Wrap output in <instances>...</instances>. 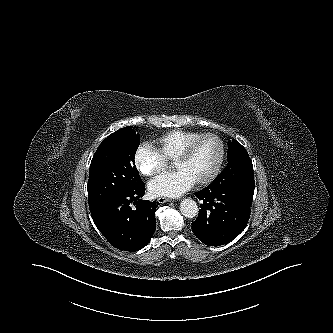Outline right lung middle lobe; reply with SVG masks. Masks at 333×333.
I'll return each instance as SVG.
<instances>
[{"mask_svg": "<svg viewBox=\"0 0 333 333\" xmlns=\"http://www.w3.org/2000/svg\"><path fill=\"white\" fill-rule=\"evenodd\" d=\"M140 135L132 127L110 134L96 150L89 169L88 201L98 202L142 184L135 166Z\"/></svg>", "mask_w": 333, "mask_h": 333, "instance_id": "obj_1", "label": "right lung middle lobe"}]
</instances>
